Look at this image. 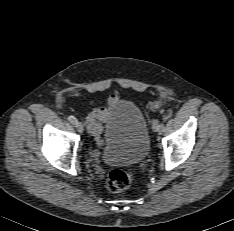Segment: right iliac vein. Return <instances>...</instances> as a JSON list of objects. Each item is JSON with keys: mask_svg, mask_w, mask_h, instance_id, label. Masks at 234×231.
<instances>
[{"mask_svg": "<svg viewBox=\"0 0 234 231\" xmlns=\"http://www.w3.org/2000/svg\"><path fill=\"white\" fill-rule=\"evenodd\" d=\"M75 127L78 130V132H80V133H82L83 130H84L83 125L80 122H77V124L75 125Z\"/></svg>", "mask_w": 234, "mask_h": 231, "instance_id": "right-iliac-vein-1", "label": "right iliac vein"}]
</instances>
